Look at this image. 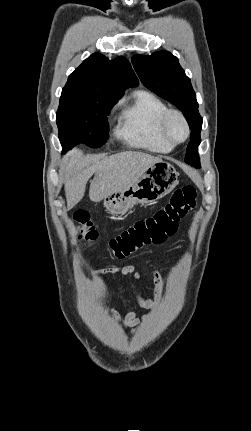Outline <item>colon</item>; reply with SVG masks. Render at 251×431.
<instances>
[{
    "label": "colon",
    "instance_id": "colon-1",
    "mask_svg": "<svg viewBox=\"0 0 251 431\" xmlns=\"http://www.w3.org/2000/svg\"><path fill=\"white\" fill-rule=\"evenodd\" d=\"M196 195L193 186L176 189L164 207L153 215L136 221L109 241L108 251L111 256L123 259L145 246L164 243L176 232L179 221L195 208ZM73 219L79 241L92 243L97 239L98 232L87 213L77 212Z\"/></svg>",
    "mask_w": 251,
    "mask_h": 431
}]
</instances>
